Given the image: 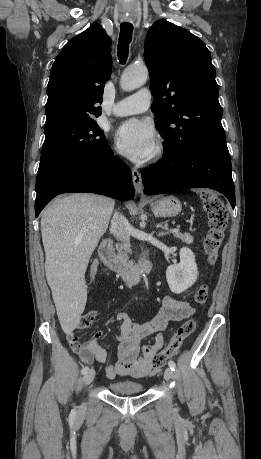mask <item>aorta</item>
Wrapping results in <instances>:
<instances>
[{"label":"aorta","instance_id":"1","mask_svg":"<svg viewBox=\"0 0 261 459\" xmlns=\"http://www.w3.org/2000/svg\"><path fill=\"white\" fill-rule=\"evenodd\" d=\"M148 78V69L146 66H132L127 68L120 79L121 89L132 91L145 84Z\"/></svg>","mask_w":261,"mask_h":459}]
</instances>
